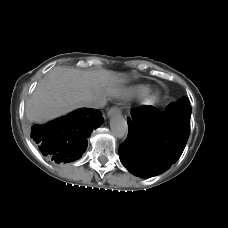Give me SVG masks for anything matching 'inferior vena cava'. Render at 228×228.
<instances>
[{
    "label": "inferior vena cava",
    "mask_w": 228,
    "mask_h": 228,
    "mask_svg": "<svg viewBox=\"0 0 228 228\" xmlns=\"http://www.w3.org/2000/svg\"><path fill=\"white\" fill-rule=\"evenodd\" d=\"M105 104H106V98L96 97L86 101L85 107L99 109V108H103Z\"/></svg>",
    "instance_id": "inferior-vena-cava-1"
}]
</instances>
